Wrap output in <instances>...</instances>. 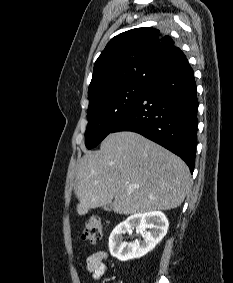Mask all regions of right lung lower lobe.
<instances>
[{
	"mask_svg": "<svg viewBox=\"0 0 233 283\" xmlns=\"http://www.w3.org/2000/svg\"><path fill=\"white\" fill-rule=\"evenodd\" d=\"M197 109L194 72L185 58L149 83L111 133L137 132L180 156L193 172Z\"/></svg>",
	"mask_w": 233,
	"mask_h": 283,
	"instance_id": "98d812e1",
	"label": "right lung lower lobe"
}]
</instances>
